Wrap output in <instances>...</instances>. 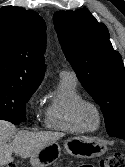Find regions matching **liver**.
<instances>
[{
	"mask_svg": "<svg viewBox=\"0 0 125 167\" xmlns=\"http://www.w3.org/2000/svg\"><path fill=\"white\" fill-rule=\"evenodd\" d=\"M64 134L61 132L16 131L13 124L0 120V167L13 162L12 153L23 159L36 154L46 145L56 142ZM13 137V141L8 140Z\"/></svg>",
	"mask_w": 125,
	"mask_h": 167,
	"instance_id": "obj_1",
	"label": "liver"
}]
</instances>
